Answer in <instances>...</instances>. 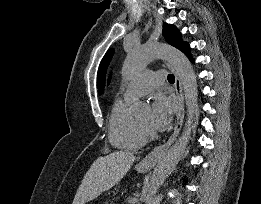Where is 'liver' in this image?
<instances>
[{
	"instance_id": "6515ba94",
	"label": "liver",
	"mask_w": 261,
	"mask_h": 204,
	"mask_svg": "<svg viewBox=\"0 0 261 204\" xmlns=\"http://www.w3.org/2000/svg\"><path fill=\"white\" fill-rule=\"evenodd\" d=\"M135 160L133 154L123 151L98 157L85 174L72 204H85L112 188L126 175Z\"/></svg>"
}]
</instances>
